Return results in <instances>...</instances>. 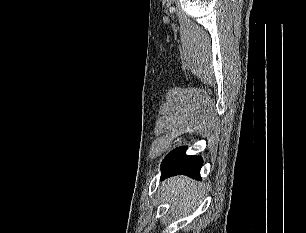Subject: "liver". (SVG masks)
I'll list each match as a JSON object with an SVG mask.
<instances>
[{
    "mask_svg": "<svg viewBox=\"0 0 306 233\" xmlns=\"http://www.w3.org/2000/svg\"><path fill=\"white\" fill-rule=\"evenodd\" d=\"M166 199L179 211H189L201 196L200 184L187 177L176 176L163 182Z\"/></svg>",
    "mask_w": 306,
    "mask_h": 233,
    "instance_id": "6515ba94",
    "label": "liver"
}]
</instances>
